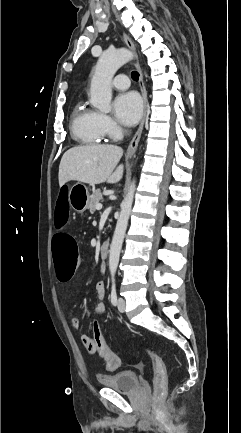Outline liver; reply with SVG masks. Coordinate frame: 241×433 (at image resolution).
I'll return each mask as SVG.
<instances>
[{
  "instance_id": "6515ba94",
  "label": "liver",
  "mask_w": 241,
  "mask_h": 433,
  "mask_svg": "<svg viewBox=\"0 0 241 433\" xmlns=\"http://www.w3.org/2000/svg\"><path fill=\"white\" fill-rule=\"evenodd\" d=\"M123 155L115 145H85L66 151L59 165V185L74 180L87 184L117 183L123 177L124 166L117 164ZM116 168V169H115Z\"/></svg>"
}]
</instances>
